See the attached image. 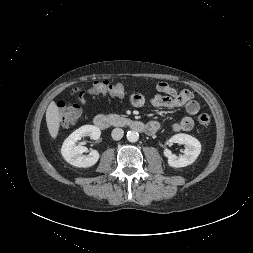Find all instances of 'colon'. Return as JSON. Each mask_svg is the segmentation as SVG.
<instances>
[{
  "label": "colon",
  "instance_id": "obj_1",
  "mask_svg": "<svg viewBox=\"0 0 253 253\" xmlns=\"http://www.w3.org/2000/svg\"><path fill=\"white\" fill-rule=\"evenodd\" d=\"M125 84L110 81H95L89 88L91 94H102L108 96H122L125 93ZM60 111V123L63 127L73 125L81 115V108L77 104H67L65 102L58 103ZM197 122L202 128H206L210 124V116L207 113H201L197 117Z\"/></svg>",
  "mask_w": 253,
  "mask_h": 253
}]
</instances>
